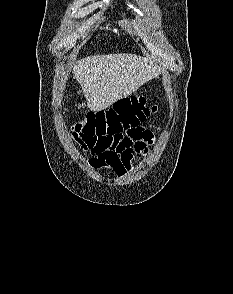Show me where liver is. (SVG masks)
<instances>
[{"instance_id":"1","label":"liver","mask_w":233,"mask_h":294,"mask_svg":"<svg viewBox=\"0 0 233 294\" xmlns=\"http://www.w3.org/2000/svg\"><path fill=\"white\" fill-rule=\"evenodd\" d=\"M160 72L161 68L153 60L125 53L94 55L78 60L73 66V77L92 111L107 109Z\"/></svg>"}]
</instances>
